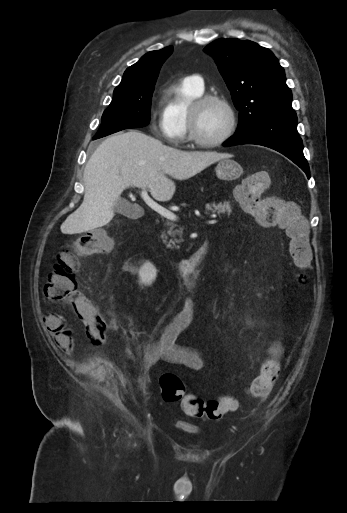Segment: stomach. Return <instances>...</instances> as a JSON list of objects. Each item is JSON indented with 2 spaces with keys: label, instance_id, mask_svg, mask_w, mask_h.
I'll list each match as a JSON object with an SVG mask.
<instances>
[{
  "label": "stomach",
  "instance_id": "0dacf381",
  "mask_svg": "<svg viewBox=\"0 0 347 513\" xmlns=\"http://www.w3.org/2000/svg\"><path fill=\"white\" fill-rule=\"evenodd\" d=\"M215 172L220 180L232 181L242 175L243 168L237 161L231 158H224L218 162Z\"/></svg>",
  "mask_w": 347,
  "mask_h": 513
}]
</instances>
